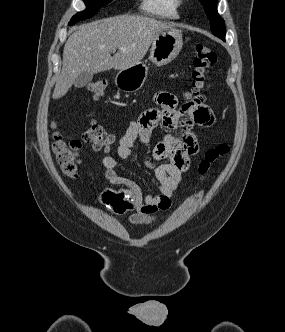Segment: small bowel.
<instances>
[{"label": "small bowel", "mask_w": 285, "mask_h": 332, "mask_svg": "<svg viewBox=\"0 0 285 332\" xmlns=\"http://www.w3.org/2000/svg\"><path fill=\"white\" fill-rule=\"evenodd\" d=\"M156 102L159 106H150L149 111L129 121L117 147L121 160H128L136 141L147 144L156 126H162V130H179L181 124L185 128L192 125L210 127L214 124L212 110L201 99H193L181 107L179 96L160 92L156 95ZM198 152L199 144L191 131H186L181 138L167 137L158 143L148 162L155 175L156 194H144L136 183L118 174L114 157L105 156L102 163L109 187L97 196V201L115 214L133 211L131 219L135 223H149L157 213L170 207L173 194L182 182L191 157ZM163 160L168 162L162 163ZM113 186L122 188L114 189Z\"/></svg>", "instance_id": "c3829d8e"}]
</instances>
